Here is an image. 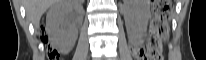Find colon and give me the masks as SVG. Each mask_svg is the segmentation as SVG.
Here are the masks:
<instances>
[{"label": "colon", "instance_id": "obj_1", "mask_svg": "<svg viewBox=\"0 0 206 60\" xmlns=\"http://www.w3.org/2000/svg\"><path fill=\"white\" fill-rule=\"evenodd\" d=\"M171 0H155L153 3V20L149 28V39L146 46L136 53L138 60H163L162 41L167 36L169 27V13ZM42 42L47 43L48 39L43 27L40 29ZM49 59L57 58V52L47 47Z\"/></svg>", "mask_w": 206, "mask_h": 60}]
</instances>
